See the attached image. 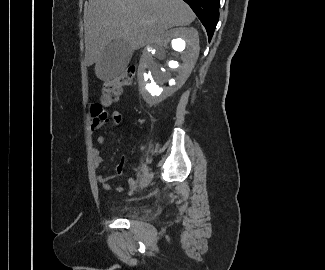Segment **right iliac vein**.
Instances as JSON below:
<instances>
[{
    "label": "right iliac vein",
    "instance_id": "obj_1",
    "mask_svg": "<svg viewBox=\"0 0 325 270\" xmlns=\"http://www.w3.org/2000/svg\"><path fill=\"white\" fill-rule=\"evenodd\" d=\"M152 178H153V173L151 172L145 175L142 181L140 182L139 187L140 188L146 187L151 182Z\"/></svg>",
    "mask_w": 325,
    "mask_h": 270
}]
</instances>
